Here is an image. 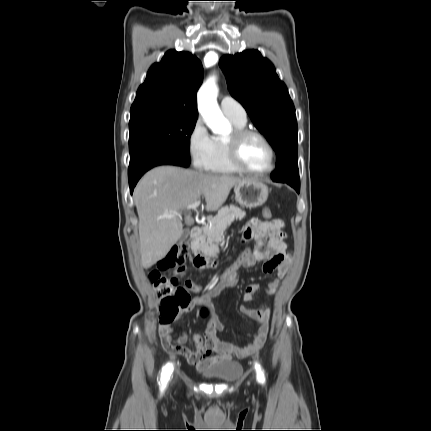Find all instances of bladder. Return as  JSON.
I'll list each match as a JSON object with an SVG mask.
<instances>
[{
	"instance_id": "1",
	"label": "bladder",
	"mask_w": 431,
	"mask_h": 431,
	"mask_svg": "<svg viewBox=\"0 0 431 431\" xmlns=\"http://www.w3.org/2000/svg\"><path fill=\"white\" fill-rule=\"evenodd\" d=\"M241 366L237 362H225L218 366L205 369L201 376L206 380L218 382H230L238 378Z\"/></svg>"
}]
</instances>
